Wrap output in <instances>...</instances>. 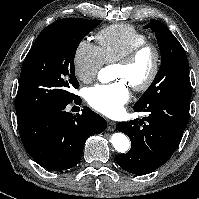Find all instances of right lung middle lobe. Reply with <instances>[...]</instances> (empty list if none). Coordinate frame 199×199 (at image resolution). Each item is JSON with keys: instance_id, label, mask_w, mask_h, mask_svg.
<instances>
[{"instance_id": "right-lung-middle-lobe-1", "label": "right lung middle lobe", "mask_w": 199, "mask_h": 199, "mask_svg": "<svg viewBox=\"0 0 199 199\" xmlns=\"http://www.w3.org/2000/svg\"><path fill=\"white\" fill-rule=\"evenodd\" d=\"M101 20L67 18L47 26L37 37L21 69L15 101L18 125L37 114L59 109L79 97L74 57L82 39Z\"/></svg>"}]
</instances>
